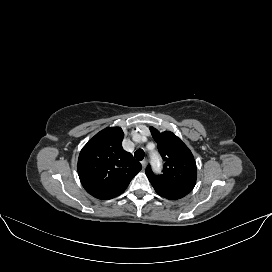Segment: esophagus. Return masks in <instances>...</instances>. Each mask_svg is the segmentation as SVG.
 <instances>
[{
    "label": "esophagus",
    "instance_id": "esophagus-1",
    "mask_svg": "<svg viewBox=\"0 0 272 272\" xmlns=\"http://www.w3.org/2000/svg\"><path fill=\"white\" fill-rule=\"evenodd\" d=\"M141 164H142V168L145 169L146 166H147V160L144 159V160L141 162Z\"/></svg>",
    "mask_w": 272,
    "mask_h": 272
}]
</instances>
